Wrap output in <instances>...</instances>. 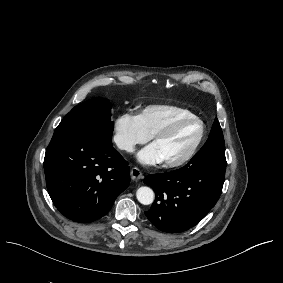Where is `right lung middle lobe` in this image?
Segmentation results:
<instances>
[{"label": "right lung middle lobe", "mask_w": 283, "mask_h": 283, "mask_svg": "<svg viewBox=\"0 0 283 283\" xmlns=\"http://www.w3.org/2000/svg\"><path fill=\"white\" fill-rule=\"evenodd\" d=\"M107 99L93 98L75 106L61 121L54 135L76 134L111 141L113 122Z\"/></svg>", "instance_id": "right-lung-middle-lobe-1"}]
</instances>
